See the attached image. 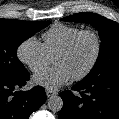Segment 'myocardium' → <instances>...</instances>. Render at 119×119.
I'll return each mask as SVG.
<instances>
[{
    "mask_svg": "<svg viewBox=\"0 0 119 119\" xmlns=\"http://www.w3.org/2000/svg\"><path fill=\"white\" fill-rule=\"evenodd\" d=\"M84 35H90L93 37V39L95 41V52H94L91 62L86 67V69L83 72H81L80 74H78L72 78L74 81H80V80H83L84 78H86L93 71L95 66L97 65L98 60L100 58V54H101V39H100V36L98 35V33L91 29L80 30L74 36H72L70 38V40L54 56V58H56L58 56L68 54L73 49L76 42Z\"/></svg>",
    "mask_w": 119,
    "mask_h": 119,
    "instance_id": "myocardium-1",
    "label": "myocardium"
}]
</instances>
